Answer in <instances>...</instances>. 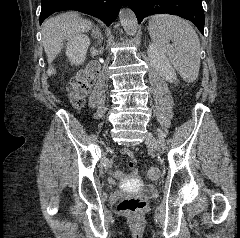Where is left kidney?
<instances>
[{
	"mask_svg": "<svg viewBox=\"0 0 240 238\" xmlns=\"http://www.w3.org/2000/svg\"><path fill=\"white\" fill-rule=\"evenodd\" d=\"M148 57L155 69L169 82L176 80V73L166 55L154 43L148 47Z\"/></svg>",
	"mask_w": 240,
	"mask_h": 238,
	"instance_id": "obj_1",
	"label": "left kidney"
}]
</instances>
